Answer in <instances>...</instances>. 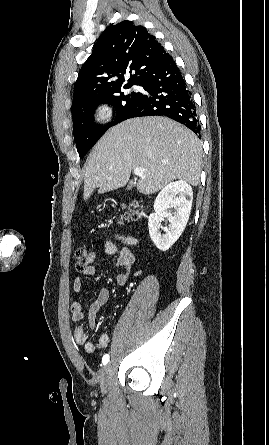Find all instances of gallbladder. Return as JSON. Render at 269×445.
Listing matches in <instances>:
<instances>
[{"label":"gallbladder","mask_w":269,"mask_h":445,"mask_svg":"<svg viewBox=\"0 0 269 445\" xmlns=\"http://www.w3.org/2000/svg\"><path fill=\"white\" fill-rule=\"evenodd\" d=\"M133 188V185L132 184H129L128 186H127V190H131Z\"/></svg>","instance_id":"1"}]
</instances>
